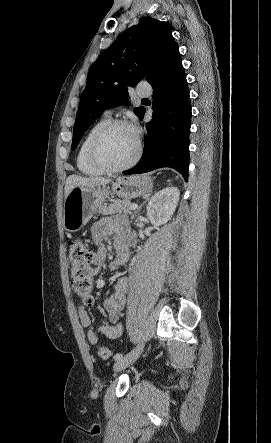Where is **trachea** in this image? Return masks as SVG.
<instances>
[{"label": "trachea", "instance_id": "trachea-1", "mask_svg": "<svg viewBox=\"0 0 271 443\" xmlns=\"http://www.w3.org/2000/svg\"><path fill=\"white\" fill-rule=\"evenodd\" d=\"M142 101H148V98H143Z\"/></svg>", "mask_w": 271, "mask_h": 443}]
</instances>
